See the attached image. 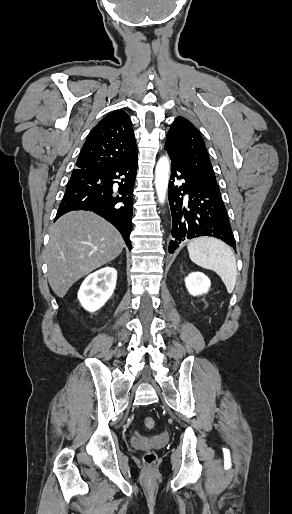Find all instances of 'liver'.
I'll return each mask as SVG.
<instances>
[{"label":"liver","mask_w":292,"mask_h":514,"mask_svg":"<svg viewBox=\"0 0 292 514\" xmlns=\"http://www.w3.org/2000/svg\"><path fill=\"white\" fill-rule=\"evenodd\" d=\"M46 250L48 282L59 298L96 268L121 254L124 242L118 230L93 212H68L49 232Z\"/></svg>","instance_id":"obj_1"}]
</instances>
